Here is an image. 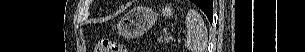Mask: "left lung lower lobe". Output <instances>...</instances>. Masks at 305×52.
Wrapping results in <instances>:
<instances>
[{
  "instance_id": "left-lung-lower-lobe-1",
  "label": "left lung lower lobe",
  "mask_w": 305,
  "mask_h": 52,
  "mask_svg": "<svg viewBox=\"0 0 305 52\" xmlns=\"http://www.w3.org/2000/svg\"><path fill=\"white\" fill-rule=\"evenodd\" d=\"M205 8H201L203 12L207 15L210 22H212V14H213V2L212 0L205 1Z\"/></svg>"
}]
</instances>
